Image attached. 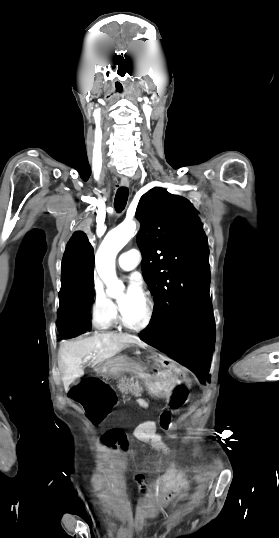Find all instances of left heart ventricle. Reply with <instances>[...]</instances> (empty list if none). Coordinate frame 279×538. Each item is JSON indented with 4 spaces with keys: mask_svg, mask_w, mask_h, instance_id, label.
I'll return each instance as SVG.
<instances>
[{
    "mask_svg": "<svg viewBox=\"0 0 279 538\" xmlns=\"http://www.w3.org/2000/svg\"><path fill=\"white\" fill-rule=\"evenodd\" d=\"M100 215L99 219L102 220ZM118 301L121 303L123 313L127 320L132 324H139L146 315V304L141 295H131L126 290H122L118 295Z\"/></svg>",
    "mask_w": 279,
    "mask_h": 538,
    "instance_id": "obj_1",
    "label": "left heart ventricle"
}]
</instances>
